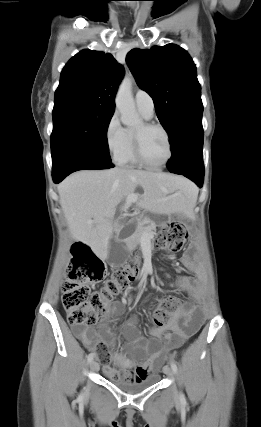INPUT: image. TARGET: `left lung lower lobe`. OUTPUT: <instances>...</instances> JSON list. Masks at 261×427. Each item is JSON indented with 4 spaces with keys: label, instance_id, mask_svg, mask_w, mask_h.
<instances>
[{
    "label": "left lung lower lobe",
    "instance_id": "0a47b994",
    "mask_svg": "<svg viewBox=\"0 0 261 427\" xmlns=\"http://www.w3.org/2000/svg\"><path fill=\"white\" fill-rule=\"evenodd\" d=\"M202 122L183 127L171 141L172 157L167 163L171 173L181 174L200 188L204 180Z\"/></svg>",
    "mask_w": 261,
    "mask_h": 427
}]
</instances>
